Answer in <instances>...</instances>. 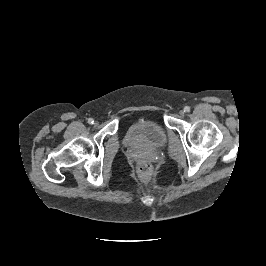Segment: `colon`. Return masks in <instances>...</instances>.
<instances>
[{
  "instance_id": "colon-1",
  "label": "colon",
  "mask_w": 266,
  "mask_h": 266,
  "mask_svg": "<svg viewBox=\"0 0 266 266\" xmlns=\"http://www.w3.org/2000/svg\"><path fill=\"white\" fill-rule=\"evenodd\" d=\"M137 171H138L140 178L148 179L152 173V166L147 161H141L139 162L137 166Z\"/></svg>"
}]
</instances>
